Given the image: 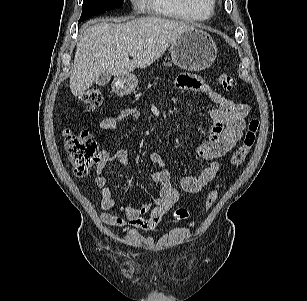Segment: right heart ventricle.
<instances>
[{
  "label": "right heart ventricle",
  "mask_w": 307,
  "mask_h": 301,
  "mask_svg": "<svg viewBox=\"0 0 307 301\" xmlns=\"http://www.w3.org/2000/svg\"><path fill=\"white\" fill-rule=\"evenodd\" d=\"M151 12L164 17L199 22L209 19L214 12V0H143Z\"/></svg>",
  "instance_id": "obj_1"
}]
</instances>
